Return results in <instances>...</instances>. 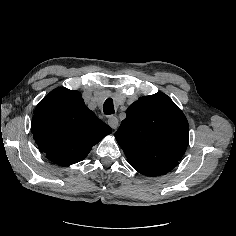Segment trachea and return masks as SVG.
Instances as JSON below:
<instances>
[{
	"label": "trachea",
	"instance_id": "obj_1",
	"mask_svg": "<svg viewBox=\"0 0 236 236\" xmlns=\"http://www.w3.org/2000/svg\"><path fill=\"white\" fill-rule=\"evenodd\" d=\"M103 111L106 115L114 114L113 100L111 98L104 102Z\"/></svg>",
	"mask_w": 236,
	"mask_h": 236
}]
</instances>
